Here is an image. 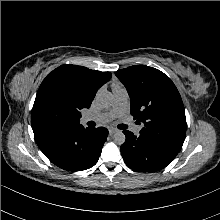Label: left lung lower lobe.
Instances as JSON below:
<instances>
[{
  "label": "left lung lower lobe",
  "instance_id": "1",
  "mask_svg": "<svg viewBox=\"0 0 220 220\" xmlns=\"http://www.w3.org/2000/svg\"><path fill=\"white\" fill-rule=\"evenodd\" d=\"M126 136L120 150L128 167L140 172H154L163 169L177 156V152L144 135L135 136L123 131Z\"/></svg>",
  "mask_w": 220,
  "mask_h": 220
}]
</instances>
